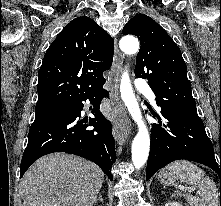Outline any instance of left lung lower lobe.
Here are the masks:
<instances>
[{
    "mask_svg": "<svg viewBox=\"0 0 221 206\" xmlns=\"http://www.w3.org/2000/svg\"><path fill=\"white\" fill-rule=\"evenodd\" d=\"M160 108L162 118L155 115L159 123L151 128L146 180L162 167L179 159L207 165L218 173L221 180V161L219 165L215 160L212 143L198 114Z\"/></svg>",
    "mask_w": 221,
    "mask_h": 206,
    "instance_id": "0a47b994",
    "label": "left lung lower lobe"
}]
</instances>
